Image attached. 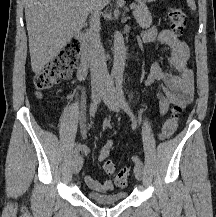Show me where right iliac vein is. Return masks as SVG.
<instances>
[{
    "mask_svg": "<svg viewBox=\"0 0 216 217\" xmlns=\"http://www.w3.org/2000/svg\"><path fill=\"white\" fill-rule=\"evenodd\" d=\"M104 88L103 87H96L92 90V99L93 102H99L104 94ZM83 166V157L81 155H78L74 158L73 161V173L77 174L81 170Z\"/></svg>",
    "mask_w": 216,
    "mask_h": 217,
    "instance_id": "obj_1",
    "label": "right iliac vein"
}]
</instances>
